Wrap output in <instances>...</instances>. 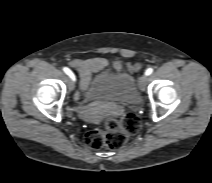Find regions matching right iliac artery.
I'll list each match as a JSON object with an SVG mask.
<instances>
[{
  "instance_id": "obj_1",
  "label": "right iliac artery",
  "mask_w": 212,
  "mask_h": 183,
  "mask_svg": "<svg viewBox=\"0 0 212 183\" xmlns=\"http://www.w3.org/2000/svg\"><path fill=\"white\" fill-rule=\"evenodd\" d=\"M63 71L73 80L75 81V75L73 74V72L67 68V67H64L63 68Z\"/></svg>"
}]
</instances>
